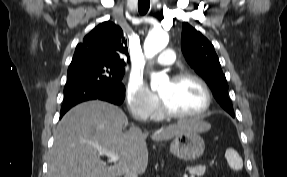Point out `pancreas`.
Returning <instances> with one entry per match:
<instances>
[{
    "mask_svg": "<svg viewBox=\"0 0 287 177\" xmlns=\"http://www.w3.org/2000/svg\"><path fill=\"white\" fill-rule=\"evenodd\" d=\"M187 170L192 175L191 177H194V175L199 177V176H202L205 173V166L188 167Z\"/></svg>",
    "mask_w": 287,
    "mask_h": 177,
    "instance_id": "pancreas-1",
    "label": "pancreas"
}]
</instances>
